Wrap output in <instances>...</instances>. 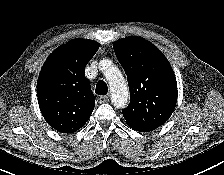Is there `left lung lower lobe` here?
Listing matches in <instances>:
<instances>
[{
    "mask_svg": "<svg viewBox=\"0 0 224 175\" xmlns=\"http://www.w3.org/2000/svg\"><path fill=\"white\" fill-rule=\"evenodd\" d=\"M133 129L136 131H139V132H149V131L154 130V129H140V128H133Z\"/></svg>",
    "mask_w": 224,
    "mask_h": 175,
    "instance_id": "1",
    "label": "left lung lower lobe"
}]
</instances>
